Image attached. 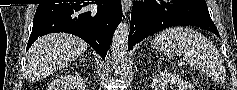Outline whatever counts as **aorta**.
I'll return each instance as SVG.
<instances>
[{
  "mask_svg": "<svg viewBox=\"0 0 237 90\" xmlns=\"http://www.w3.org/2000/svg\"><path fill=\"white\" fill-rule=\"evenodd\" d=\"M129 32V20H122L112 38L111 60L116 74H120V76H123L122 72H125L127 66Z\"/></svg>",
  "mask_w": 237,
  "mask_h": 90,
  "instance_id": "762f6f07",
  "label": "aorta"
}]
</instances>
